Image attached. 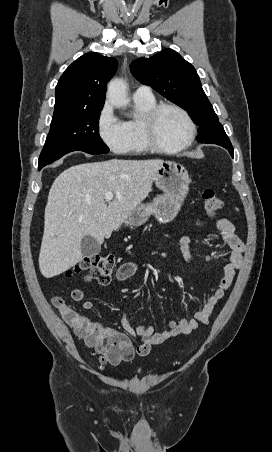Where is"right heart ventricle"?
I'll return each mask as SVG.
<instances>
[{
    "mask_svg": "<svg viewBox=\"0 0 272 452\" xmlns=\"http://www.w3.org/2000/svg\"><path fill=\"white\" fill-rule=\"evenodd\" d=\"M136 115L123 122L126 141L122 152L140 154L150 150L143 136L142 123L146 113L157 105L153 97H134Z\"/></svg>",
    "mask_w": 272,
    "mask_h": 452,
    "instance_id": "e07e8e85",
    "label": "right heart ventricle"
}]
</instances>
